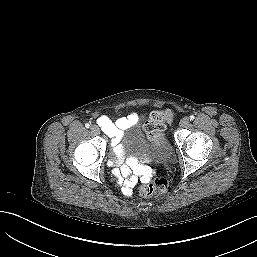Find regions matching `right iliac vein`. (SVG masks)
I'll return each instance as SVG.
<instances>
[{"mask_svg":"<svg viewBox=\"0 0 257 257\" xmlns=\"http://www.w3.org/2000/svg\"><path fill=\"white\" fill-rule=\"evenodd\" d=\"M90 129L93 134H95V135L100 134V129L97 125H92Z\"/></svg>","mask_w":257,"mask_h":257,"instance_id":"63e3f726","label":"right iliac vein"}]
</instances>
